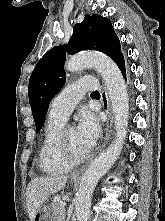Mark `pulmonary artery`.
<instances>
[{"mask_svg": "<svg viewBox=\"0 0 165 221\" xmlns=\"http://www.w3.org/2000/svg\"><path fill=\"white\" fill-rule=\"evenodd\" d=\"M97 87V81L93 77H84L70 83L52 101L48 112L49 119L65 122L82 96Z\"/></svg>", "mask_w": 165, "mask_h": 221, "instance_id": "obj_1", "label": "pulmonary artery"}]
</instances>
